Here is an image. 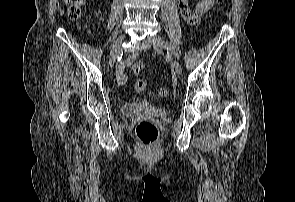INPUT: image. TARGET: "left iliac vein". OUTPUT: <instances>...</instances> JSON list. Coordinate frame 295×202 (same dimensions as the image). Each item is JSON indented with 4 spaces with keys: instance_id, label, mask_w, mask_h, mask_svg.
Returning <instances> with one entry per match:
<instances>
[{
    "instance_id": "obj_1",
    "label": "left iliac vein",
    "mask_w": 295,
    "mask_h": 202,
    "mask_svg": "<svg viewBox=\"0 0 295 202\" xmlns=\"http://www.w3.org/2000/svg\"><path fill=\"white\" fill-rule=\"evenodd\" d=\"M148 41L156 48L159 47L168 49L169 47V45L159 35L151 36ZM173 68L176 74L180 75L182 73V68L178 61L174 60Z\"/></svg>"
}]
</instances>
